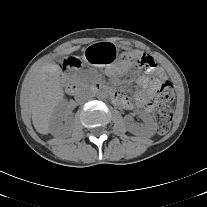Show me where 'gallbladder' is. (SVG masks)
<instances>
[{"mask_svg": "<svg viewBox=\"0 0 207 207\" xmlns=\"http://www.w3.org/2000/svg\"><path fill=\"white\" fill-rule=\"evenodd\" d=\"M63 59H64V56H57V57H56V61H57V62H62Z\"/></svg>", "mask_w": 207, "mask_h": 207, "instance_id": "bac80fb5", "label": "gallbladder"}]
</instances>
